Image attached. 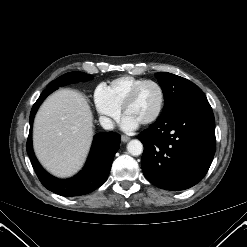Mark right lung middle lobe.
<instances>
[{
	"label": "right lung middle lobe",
	"instance_id": "1",
	"mask_svg": "<svg viewBox=\"0 0 247 247\" xmlns=\"http://www.w3.org/2000/svg\"><path fill=\"white\" fill-rule=\"evenodd\" d=\"M92 78H93L92 75L83 72H77V71L70 72L58 77L57 79L49 83L47 88H51V87L58 88L59 86H64L79 81L91 80Z\"/></svg>",
	"mask_w": 247,
	"mask_h": 247
}]
</instances>
